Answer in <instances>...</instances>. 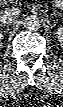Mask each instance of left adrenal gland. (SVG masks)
<instances>
[{
	"label": "left adrenal gland",
	"mask_w": 63,
	"mask_h": 107,
	"mask_svg": "<svg viewBox=\"0 0 63 107\" xmlns=\"http://www.w3.org/2000/svg\"><path fill=\"white\" fill-rule=\"evenodd\" d=\"M52 15H53V16H60V17L62 16V14L59 13V12H57V13L54 12V13H52Z\"/></svg>",
	"instance_id": "1"
}]
</instances>
